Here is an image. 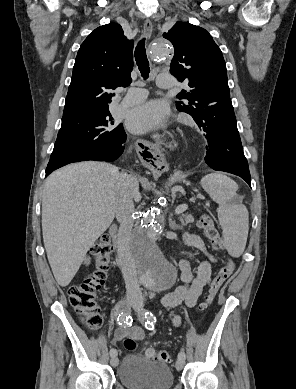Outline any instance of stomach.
Masks as SVG:
<instances>
[{"mask_svg":"<svg viewBox=\"0 0 296 389\" xmlns=\"http://www.w3.org/2000/svg\"><path fill=\"white\" fill-rule=\"evenodd\" d=\"M149 172L155 180H160L163 177L162 169H149Z\"/></svg>","mask_w":296,"mask_h":389,"instance_id":"stomach-1","label":"stomach"}]
</instances>
